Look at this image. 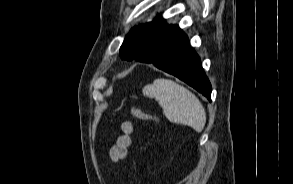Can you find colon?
I'll return each instance as SVG.
<instances>
[{"label": "colon", "instance_id": "colon-1", "mask_svg": "<svg viewBox=\"0 0 293 184\" xmlns=\"http://www.w3.org/2000/svg\"><path fill=\"white\" fill-rule=\"evenodd\" d=\"M129 111H130V114L139 119V120H143V121H153V122H156L158 123V118L152 114H148L144 111H142L141 109L139 108H136V107H130L129 108Z\"/></svg>", "mask_w": 293, "mask_h": 184}]
</instances>
